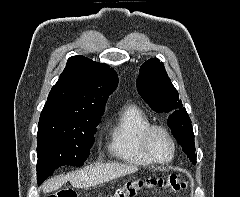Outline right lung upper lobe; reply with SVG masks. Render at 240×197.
I'll use <instances>...</instances> for the list:
<instances>
[{
    "label": "right lung upper lobe",
    "mask_w": 240,
    "mask_h": 197,
    "mask_svg": "<svg viewBox=\"0 0 240 197\" xmlns=\"http://www.w3.org/2000/svg\"><path fill=\"white\" fill-rule=\"evenodd\" d=\"M117 85V73L108 65L80 55L70 57L40 117L100 119L106 100Z\"/></svg>",
    "instance_id": "obj_1"
}]
</instances>
